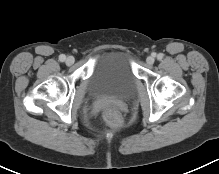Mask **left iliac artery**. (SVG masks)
Listing matches in <instances>:
<instances>
[{
    "mask_svg": "<svg viewBox=\"0 0 219 174\" xmlns=\"http://www.w3.org/2000/svg\"><path fill=\"white\" fill-rule=\"evenodd\" d=\"M158 57L161 58V57H162V54H159Z\"/></svg>",
    "mask_w": 219,
    "mask_h": 174,
    "instance_id": "1",
    "label": "left iliac artery"
}]
</instances>
